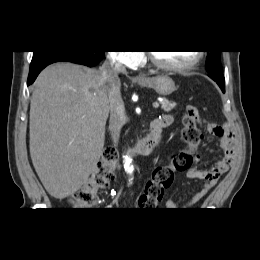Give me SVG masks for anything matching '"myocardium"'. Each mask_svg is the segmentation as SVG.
I'll return each instance as SVG.
<instances>
[{
	"mask_svg": "<svg viewBox=\"0 0 260 260\" xmlns=\"http://www.w3.org/2000/svg\"><path fill=\"white\" fill-rule=\"evenodd\" d=\"M197 55L196 57L189 63L182 64V65H170L166 64L162 61H160L154 54V52H147V57L149 61L154 65L155 67L165 70V71H171V72H183L188 71L196 67L203 58V52L202 51H196Z\"/></svg>",
	"mask_w": 260,
	"mask_h": 260,
	"instance_id": "f54148a6",
	"label": "myocardium"
}]
</instances>
